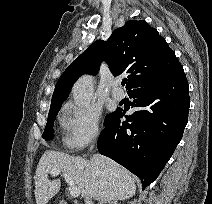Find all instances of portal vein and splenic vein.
<instances>
[{
    "label": "portal vein and splenic vein",
    "instance_id": "portal-vein-and-splenic-vein-1",
    "mask_svg": "<svg viewBox=\"0 0 212 204\" xmlns=\"http://www.w3.org/2000/svg\"><path fill=\"white\" fill-rule=\"evenodd\" d=\"M61 173V171L60 170H58V169H52L51 171H50V174L52 175V176H57V175H59ZM63 175H64V178H65V180H66V182L70 185V195L72 196V197H78L79 195H80V190L78 189V187L75 185V183H74V181L72 180V178L69 176V175H67V174H65V173H63Z\"/></svg>",
    "mask_w": 212,
    "mask_h": 204
}]
</instances>
